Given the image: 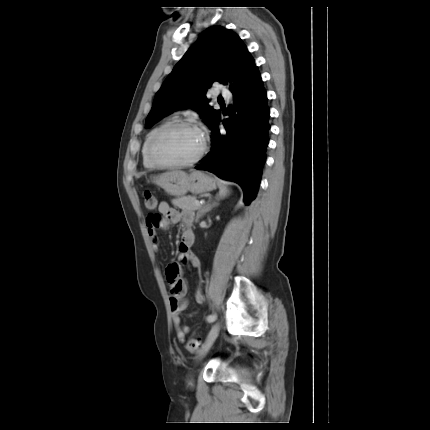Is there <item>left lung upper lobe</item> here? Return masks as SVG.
<instances>
[{"label":"left lung upper lobe","instance_id":"obj_1","mask_svg":"<svg viewBox=\"0 0 430 430\" xmlns=\"http://www.w3.org/2000/svg\"><path fill=\"white\" fill-rule=\"evenodd\" d=\"M257 71L254 60L240 37L222 26L206 29L175 65L159 91L147 119L151 127L176 107L192 105L207 125L220 113L208 105L206 97L213 82L230 85L233 91L243 79Z\"/></svg>","mask_w":430,"mask_h":430}]
</instances>
